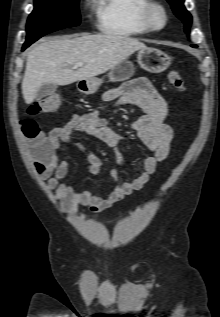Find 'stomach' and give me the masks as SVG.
Returning a JSON list of instances; mask_svg holds the SVG:
<instances>
[{
    "mask_svg": "<svg viewBox=\"0 0 220 317\" xmlns=\"http://www.w3.org/2000/svg\"><path fill=\"white\" fill-rule=\"evenodd\" d=\"M137 62L141 68L151 73H160L166 70L171 64L170 57L163 51L156 48H144L137 54ZM134 65L128 59L120 61L108 73L111 81H125L134 74ZM103 80L97 77L82 79L77 83V88L81 93H95Z\"/></svg>",
    "mask_w": 220,
    "mask_h": 317,
    "instance_id": "1",
    "label": "stomach"
}]
</instances>
